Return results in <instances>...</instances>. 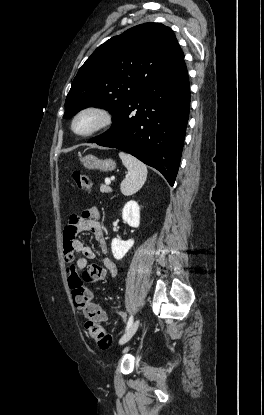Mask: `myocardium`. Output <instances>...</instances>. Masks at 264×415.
<instances>
[{"label": "myocardium", "mask_w": 264, "mask_h": 415, "mask_svg": "<svg viewBox=\"0 0 264 415\" xmlns=\"http://www.w3.org/2000/svg\"><path fill=\"white\" fill-rule=\"evenodd\" d=\"M85 114H93L98 117V122L93 126L90 130L86 132H79L76 130V123L80 117H82ZM113 115L112 113L101 106H86L79 111L75 113L71 120V130L74 134L80 136V137H90L93 136L99 132H102L106 129H108L113 124Z\"/></svg>", "instance_id": "1"}]
</instances>
